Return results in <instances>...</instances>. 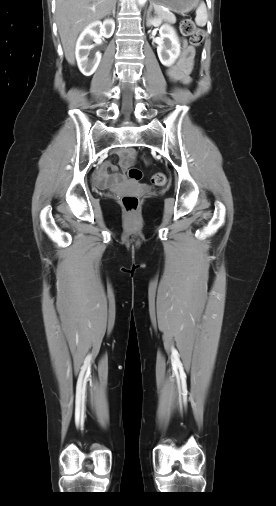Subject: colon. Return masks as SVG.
<instances>
[{
    "label": "colon",
    "instance_id": "1",
    "mask_svg": "<svg viewBox=\"0 0 276 506\" xmlns=\"http://www.w3.org/2000/svg\"><path fill=\"white\" fill-rule=\"evenodd\" d=\"M180 31L181 33L188 37L190 43L194 46H200L204 42L205 34L203 30L196 28L194 22L189 18H184L180 21ZM128 175L133 180H140L142 178V172L138 168H130L128 171ZM152 181L157 186H162L167 182V177L164 173H156ZM122 205L124 209L133 213L138 209L139 206V198L135 195H124L121 198Z\"/></svg>",
    "mask_w": 276,
    "mask_h": 506
}]
</instances>
